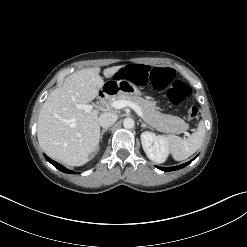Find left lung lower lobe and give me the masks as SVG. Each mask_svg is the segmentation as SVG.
Segmentation results:
<instances>
[{"mask_svg": "<svg viewBox=\"0 0 247 247\" xmlns=\"http://www.w3.org/2000/svg\"><path fill=\"white\" fill-rule=\"evenodd\" d=\"M193 161V159L187 163H184V164H181V165H178V166H174V167H159V166H156L158 169L162 170V171H174V170H178V169H181L185 166H187L189 163H191Z\"/></svg>", "mask_w": 247, "mask_h": 247, "instance_id": "obj_1", "label": "left lung lower lobe"}]
</instances>
